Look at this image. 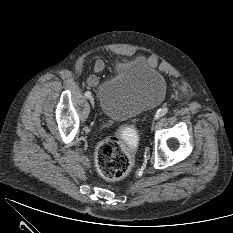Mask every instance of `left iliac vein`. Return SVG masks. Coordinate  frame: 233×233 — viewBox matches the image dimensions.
<instances>
[{
    "label": "left iliac vein",
    "mask_w": 233,
    "mask_h": 233,
    "mask_svg": "<svg viewBox=\"0 0 233 233\" xmlns=\"http://www.w3.org/2000/svg\"><path fill=\"white\" fill-rule=\"evenodd\" d=\"M155 125H156V123H155V121L152 123V129H154L155 128Z\"/></svg>",
    "instance_id": "4c4485c4"
}]
</instances>
